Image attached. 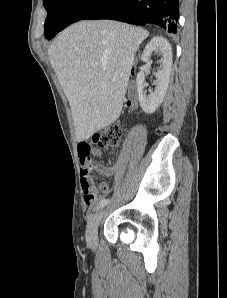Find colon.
I'll return each instance as SVG.
<instances>
[{
  "label": "colon",
  "mask_w": 227,
  "mask_h": 298,
  "mask_svg": "<svg viewBox=\"0 0 227 298\" xmlns=\"http://www.w3.org/2000/svg\"><path fill=\"white\" fill-rule=\"evenodd\" d=\"M122 132L121 129L116 125H111L99 133L95 134L93 137V142L95 145L100 147H117L121 142ZM90 146V145H89ZM79 153V150H78ZM85 201L89 205H93L99 199L96 192L91 190L89 187L85 186L84 190Z\"/></svg>",
  "instance_id": "obj_1"
}]
</instances>
